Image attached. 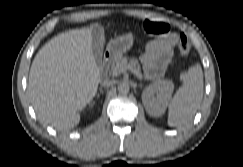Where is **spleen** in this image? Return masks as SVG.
<instances>
[{
  "mask_svg": "<svg viewBox=\"0 0 243 167\" xmlns=\"http://www.w3.org/2000/svg\"><path fill=\"white\" fill-rule=\"evenodd\" d=\"M180 78L183 84L168 107V125L171 127L188 123L203 99V71L200 64L191 66Z\"/></svg>",
  "mask_w": 243,
  "mask_h": 167,
  "instance_id": "1",
  "label": "spleen"
}]
</instances>
